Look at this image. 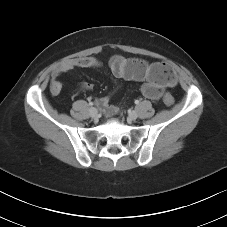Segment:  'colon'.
<instances>
[{"label":"colon","mask_w":227,"mask_h":227,"mask_svg":"<svg viewBox=\"0 0 227 227\" xmlns=\"http://www.w3.org/2000/svg\"><path fill=\"white\" fill-rule=\"evenodd\" d=\"M152 68L159 74L161 79L168 83H175V72L174 70L166 63L156 62L151 64ZM163 101L166 105L171 106L174 104V98L171 94L166 93L163 97Z\"/></svg>","instance_id":"1"}]
</instances>
